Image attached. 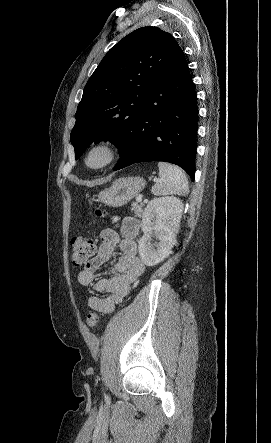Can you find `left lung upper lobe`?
I'll return each mask as SVG.
<instances>
[{"instance_id":"1","label":"left lung upper lobe","mask_w":271,"mask_h":443,"mask_svg":"<svg viewBox=\"0 0 271 443\" xmlns=\"http://www.w3.org/2000/svg\"><path fill=\"white\" fill-rule=\"evenodd\" d=\"M179 48L170 33L142 27L120 40L84 87L70 140L79 159L94 141L112 140L123 153L143 113L147 89Z\"/></svg>"}]
</instances>
